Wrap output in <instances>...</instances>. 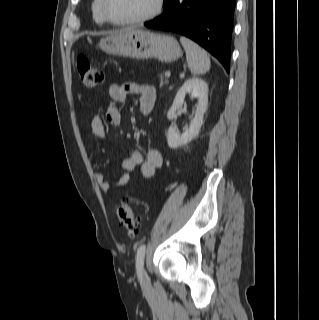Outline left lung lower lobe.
<instances>
[{"mask_svg": "<svg viewBox=\"0 0 319 320\" xmlns=\"http://www.w3.org/2000/svg\"><path fill=\"white\" fill-rule=\"evenodd\" d=\"M234 9L235 0H165L164 13L144 25L194 40L229 72Z\"/></svg>", "mask_w": 319, "mask_h": 320, "instance_id": "left-lung-lower-lobe-1", "label": "left lung lower lobe"}]
</instances>
